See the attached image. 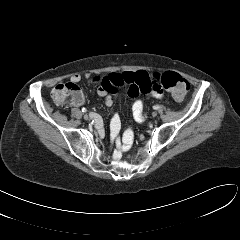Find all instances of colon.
<instances>
[{"label": "colon", "mask_w": 240, "mask_h": 240, "mask_svg": "<svg viewBox=\"0 0 240 240\" xmlns=\"http://www.w3.org/2000/svg\"><path fill=\"white\" fill-rule=\"evenodd\" d=\"M156 80L160 85L169 91L176 100H182L190 89V84L179 74L175 72H165L156 75ZM82 96L81 88L75 83L58 84L51 92L53 101L63 106L67 102H72L75 99H79ZM131 145V135L124 137L123 146L128 149Z\"/></svg>", "instance_id": "colon-1"}]
</instances>
